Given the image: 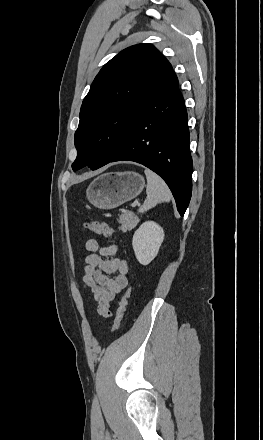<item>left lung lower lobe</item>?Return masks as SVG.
<instances>
[{
	"instance_id": "1",
	"label": "left lung lower lobe",
	"mask_w": 263,
	"mask_h": 440,
	"mask_svg": "<svg viewBox=\"0 0 263 440\" xmlns=\"http://www.w3.org/2000/svg\"><path fill=\"white\" fill-rule=\"evenodd\" d=\"M189 139L185 101L171 68L139 111L126 143L108 163L134 161L157 173L169 186L183 216L192 194Z\"/></svg>"
}]
</instances>
